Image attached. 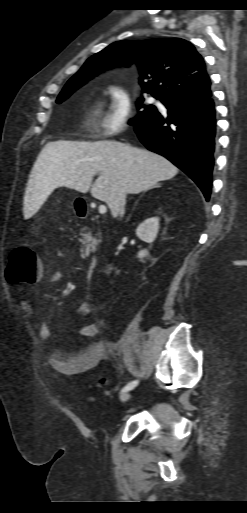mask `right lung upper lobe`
I'll return each mask as SVG.
<instances>
[{"label":"right lung upper lobe","mask_w":247,"mask_h":513,"mask_svg":"<svg viewBox=\"0 0 247 513\" xmlns=\"http://www.w3.org/2000/svg\"><path fill=\"white\" fill-rule=\"evenodd\" d=\"M132 61L138 64L142 91L162 103L211 95L204 59L190 42L180 38L114 42L91 56L72 78L88 81L107 67Z\"/></svg>","instance_id":"obj_1"}]
</instances>
